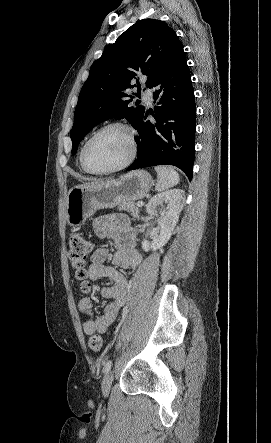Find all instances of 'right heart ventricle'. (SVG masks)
Masks as SVG:
<instances>
[{
    "label": "right heart ventricle",
    "instance_id": "1",
    "mask_svg": "<svg viewBox=\"0 0 271 443\" xmlns=\"http://www.w3.org/2000/svg\"><path fill=\"white\" fill-rule=\"evenodd\" d=\"M78 165H79L80 169L82 170V172H84L85 174H88V175L91 174V173H90L89 171H87V170L83 167V165H82V162H81V150H80V152H79V154H78Z\"/></svg>",
    "mask_w": 271,
    "mask_h": 443
}]
</instances>
